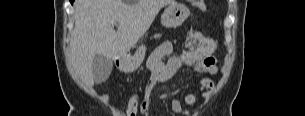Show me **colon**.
<instances>
[{
  "label": "colon",
  "mask_w": 305,
  "mask_h": 116,
  "mask_svg": "<svg viewBox=\"0 0 305 116\" xmlns=\"http://www.w3.org/2000/svg\"><path fill=\"white\" fill-rule=\"evenodd\" d=\"M142 98L139 95H133L127 101L121 116H138L140 112Z\"/></svg>",
  "instance_id": "colon-1"
}]
</instances>
